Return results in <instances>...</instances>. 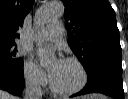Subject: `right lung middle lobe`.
I'll use <instances>...</instances> for the list:
<instances>
[{"instance_id": "obj_1", "label": "right lung middle lobe", "mask_w": 128, "mask_h": 99, "mask_svg": "<svg viewBox=\"0 0 128 99\" xmlns=\"http://www.w3.org/2000/svg\"><path fill=\"white\" fill-rule=\"evenodd\" d=\"M15 44H0V71L17 74L23 70V60L16 56Z\"/></svg>"}]
</instances>
